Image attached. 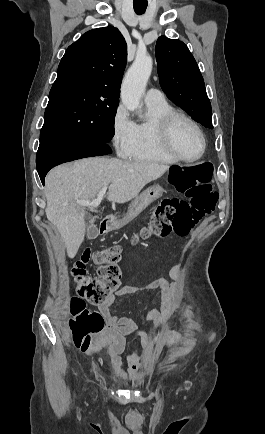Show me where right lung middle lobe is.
<instances>
[{
  "label": "right lung middle lobe",
  "mask_w": 265,
  "mask_h": 434,
  "mask_svg": "<svg viewBox=\"0 0 265 434\" xmlns=\"http://www.w3.org/2000/svg\"><path fill=\"white\" fill-rule=\"evenodd\" d=\"M119 91L90 80L54 82L40 138L55 135L75 141L109 142Z\"/></svg>",
  "instance_id": "right-lung-middle-lobe-1"
}]
</instances>
